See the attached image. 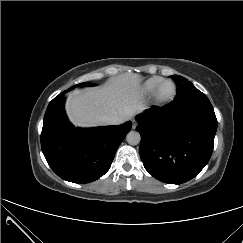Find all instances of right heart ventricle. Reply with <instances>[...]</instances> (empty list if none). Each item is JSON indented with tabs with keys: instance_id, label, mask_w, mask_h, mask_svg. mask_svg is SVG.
<instances>
[{
	"instance_id": "right-heart-ventricle-1",
	"label": "right heart ventricle",
	"mask_w": 243,
	"mask_h": 243,
	"mask_svg": "<svg viewBox=\"0 0 243 243\" xmlns=\"http://www.w3.org/2000/svg\"><path fill=\"white\" fill-rule=\"evenodd\" d=\"M165 79L160 76H153L146 79L141 86L139 87V93L142 96H151L156 91L157 87L164 81Z\"/></svg>"
}]
</instances>
